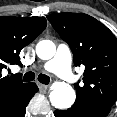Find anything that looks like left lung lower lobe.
I'll list each match as a JSON object with an SVG mask.
<instances>
[{"mask_svg": "<svg viewBox=\"0 0 117 117\" xmlns=\"http://www.w3.org/2000/svg\"><path fill=\"white\" fill-rule=\"evenodd\" d=\"M111 107L93 104L84 101H75L67 110H56L55 117H106Z\"/></svg>", "mask_w": 117, "mask_h": 117, "instance_id": "left-lung-lower-lobe-1", "label": "left lung lower lobe"}]
</instances>
